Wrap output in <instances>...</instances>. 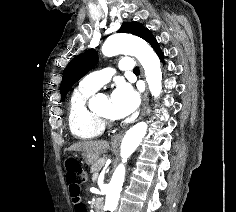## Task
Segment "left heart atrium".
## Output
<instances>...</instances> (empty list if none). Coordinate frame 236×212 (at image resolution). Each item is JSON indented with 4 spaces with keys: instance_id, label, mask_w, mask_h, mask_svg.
<instances>
[{
    "instance_id": "1",
    "label": "left heart atrium",
    "mask_w": 236,
    "mask_h": 212,
    "mask_svg": "<svg viewBox=\"0 0 236 212\" xmlns=\"http://www.w3.org/2000/svg\"><path fill=\"white\" fill-rule=\"evenodd\" d=\"M111 113L114 118L132 114L140 104L139 94L128 84H120L111 95Z\"/></svg>"
}]
</instances>
